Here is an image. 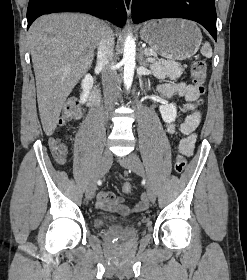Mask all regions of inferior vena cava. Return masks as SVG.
<instances>
[{"label": "inferior vena cava", "instance_id": "1", "mask_svg": "<svg viewBox=\"0 0 247 280\" xmlns=\"http://www.w3.org/2000/svg\"><path fill=\"white\" fill-rule=\"evenodd\" d=\"M114 50V34L112 30L103 25L100 31V40L97 51V65L102 68L103 91L106 103L113 105L117 100V72L112 69Z\"/></svg>", "mask_w": 247, "mask_h": 280}]
</instances>
